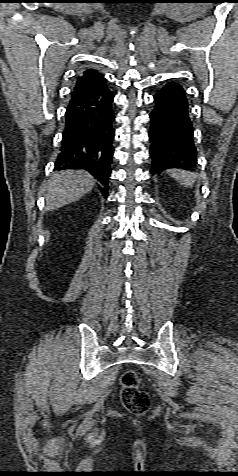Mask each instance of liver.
<instances>
[{"mask_svg":"<svg viewBox=\"0 0 238 476\" xmlns=\"http://www.w3.org/2000/svg\"><path fill=\"white\" fill-rule=\"evenodd\" d=\"M96 180L83 170L54 173L46 189V211H53L79 200L91 191Z\"/></svg>","mask_w":238,"mask_h":476,"instance_id":"obj_1","label":"liver"}]
</instances>
